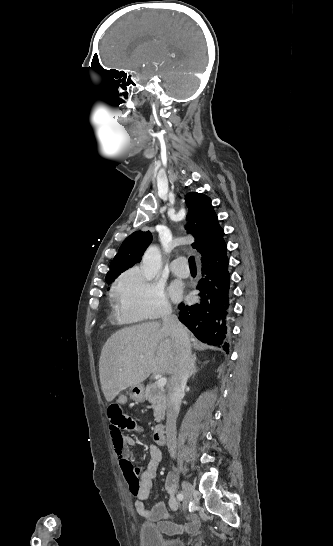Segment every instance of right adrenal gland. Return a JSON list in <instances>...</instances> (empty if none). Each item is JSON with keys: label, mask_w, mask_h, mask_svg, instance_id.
<instances>
[{"label": "right adrenal gland", "mask_w": 333, "mask_h": 546, "mask_svg": "<svg viewBox=\"0 0 333 546\" xmlns=\"http://www.w3.org/2000/svg\"><path fill=\"white\" fill-rule=\"evenodd\" d=\"M207 363H208V361L205 364H207ZM197 372H198V368L196 367V354H194L193 359H192V367H191V370H190V373H189V378L194 376Z\"/></svg>", "instance_id": "2a0ac1e0"}]
</instances>
